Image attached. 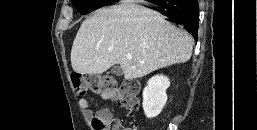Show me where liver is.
Here are the masks:
<instances>
[{
    "label": "liver",
    "mask_w": 257,
    "mask_h": 130,
    "mask_svg": "<svg viewBox=\"0 0 257 130\" xmlns=\"http://www.w3.org/2000/svg\"><path fill=\"white\" fill-rule=\"evenodd\" d=\"M193 44L189 33L160 13L124 2L99 9L83 21L72 45L71 64L79 74H101L120 64L124 78L133 80L187 62Z\"/></svg>",
    "instance_id": "obj_1"
}]
</instances>
